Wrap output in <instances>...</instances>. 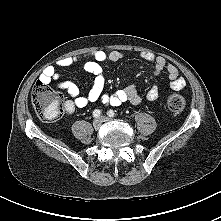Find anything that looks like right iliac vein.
<instances>
[{"instance_id": "right-iliac-vein-1", "label": "right iliac vein", "mask_w": 221, "mask_h": 221, "mask_svg": "<svg viewBox=\"0 0 221 221\" xmlns=\"http://www.w3.org/2000/svg\"><path fill=\"white\" fill-rule=\"evenodd\" d=\"M101 125H102V120H101L100 118L95 119V120L93 121V127H94L95 129H99V128L101 127Z\"/></svg>"}]
</instances>
